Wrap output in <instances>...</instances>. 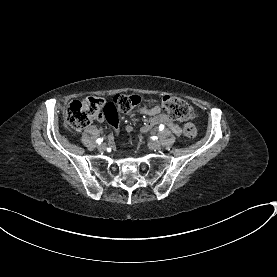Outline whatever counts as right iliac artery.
Instances as JSON below:
<instances>
[{
	"label": "right iliac artery",
	"mask_w": 277,
	"mask_h": 277,
	"mask_svg": "<svg viewBox=\"0 0 277 277\" xmlns=\"http://www.w3.org/2000/svg\"><path fill=\"white\" fill-rule=\"evenodd\" d=\"M103 142V138H98L97 140H96V143H98V144H101Z\"/></svg>",
	"instance_id": "1"
}]
</instances>
